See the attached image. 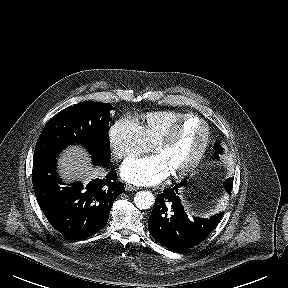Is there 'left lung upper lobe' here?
I'll return each instance as SVG.
<instances>
[{"label": "left lung upper lobe", "instance_id": "5c2ea615", "mask_svg": "<svg viewBox=\"0 0 288 288\" xmlns=\"http://www.w3.org/2000/svg\"><path fill=\"white\" fill-rule=\"evenodd\" d=\"M214 149H215V154H214V158H219V154L222 153L223 149H222V146L217 142L215 143V146H214ZM232 185H233V178H228L225 182V185L224 187L226 189H232Z\"/></svg>", "mask_w": 288, "mask_h": 288}]
</instances>
